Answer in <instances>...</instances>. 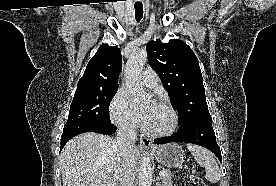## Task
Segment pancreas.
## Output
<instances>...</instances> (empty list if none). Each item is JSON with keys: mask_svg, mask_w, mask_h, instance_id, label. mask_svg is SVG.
I'll return each instance as SVG.
<instances>
[{"mask_svg": "<svg viewBox=\"0 0 276 186\" xmlns=\"http://www.w3.org/2000/svg\"><path fill=\"white\" fill-rule=\"evenodd\" d=\"M166 171L167 175L162 177V186H173L172 185V175L171 172L169 170H164Z\"/></svg>", "mask_w": 276, "mask_h": 186, "instance_id": "obj_1", "label": "pancreas"}]
</instances>
